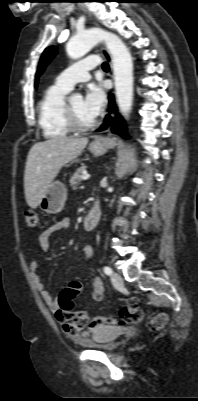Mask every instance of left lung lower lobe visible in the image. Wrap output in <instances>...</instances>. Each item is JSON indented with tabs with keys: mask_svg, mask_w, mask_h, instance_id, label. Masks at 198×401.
Instances as JSON below:
<instances>
[{
	"mask_svg": "<svg viewBox=\"0 0 198 401\" xmlns=\"http://www.w3.org/2000/svg\"><path fill=\"white\" fill-rule=\"evenodd\" d=\"M114 109H115V103H114L113 95L110 94L109 95V111L111 112ZM111 120L112 119H111L110 115L108 114L106 116L104 124L100 127L99 131L104 130L106 127H108L109 124L111 123ZM112 132L122 136L123 138L128 139V135L126 133V124L120 115H117V118L115 119L114 126L112 127Z\"/></svg>",
	"mask_w": 198,
	"mask_h": 401,
	"instance_id": "0a47b994",
	"label": "left lung lower lobe"
}]
</instances>
